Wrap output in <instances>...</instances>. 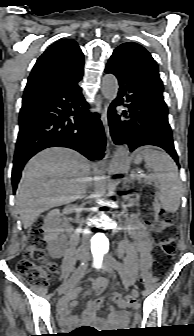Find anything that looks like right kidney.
<instances>
[{"instance_id": "1", "label": "right kidney", "mask_w": 194, "mask_h": 336, "mask_svg": "<svg viewBox=\"0 0 194 336\" xmlns=\"http://www.w3.org/2000/svg\"><path fill=\"white\" fill-rule=\"evenodd\" d=\"M73 208L74 206L68 205L65 210L71 211ZM60 216L61 213L59 209L51 210L47 214L43 225L44 239L48 244V251L55 257H60V249L63 240V238L60 237V233L62 232Z\"/></svg>"}]
</instances>
